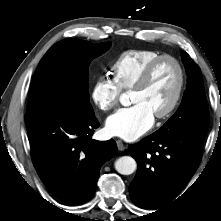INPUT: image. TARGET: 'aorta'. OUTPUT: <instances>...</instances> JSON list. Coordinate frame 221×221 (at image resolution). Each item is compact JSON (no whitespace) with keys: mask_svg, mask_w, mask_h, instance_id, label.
Wrapping results in <instances>:
<instances>
[{"mask_svg":"<svg viewBox=\"0 0 221 221\" xmlns=\"http://www.w3.org/2000/svg\"><path fill=\"white\" fill-rule=\"evenodd\" d=\"M114 165L116 171L122 175H130L137 168V163L131 156H122L118 158Z\"/></svg>","mask_w":221,"mask_h":221,"instance_id":"1","label":"aorta"}]
</instances>
